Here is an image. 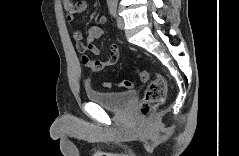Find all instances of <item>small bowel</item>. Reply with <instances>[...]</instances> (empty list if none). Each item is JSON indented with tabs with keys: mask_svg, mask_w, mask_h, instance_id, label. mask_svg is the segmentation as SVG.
<instances>
[{
	"mask_svg": "<svg viewBox=\"0 0 239 156\" xmlns=\"http://www.w3.org/2000/svg\"><path fill=\"white\" fill-rule=\"evenodd\" d=\"M63 6L67 14V20L70 23H74L76 15L82 13L86 9V3L84 1L74 3L70 0H64ZM99 22L104 24L106 23V19L101 18ZM102 33L100 26H91L88 29L86 42H83V33L80 30H75L73 32V38L76 41L77 49L79 52L83 53L82 62L93 72H99L105 68L113 66L119 58V48L116 44L110 45L109 55L104 59H95L86 54L87 52H90L93 55L99 54V49L96 47L95 42L102 36Z\"/></svg>",
	"mask_w": 239,
	"mask_h": 156,
	"instance_id": "obj_1",
	"label": "small bowel"
}]
</instances>
